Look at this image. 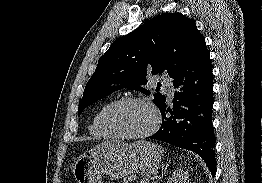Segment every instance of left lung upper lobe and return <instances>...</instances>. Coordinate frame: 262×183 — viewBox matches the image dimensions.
<instances>
[{
	"label": "left lung upper lobe",
	"instance_id": "obj_1",
	"mask_svg": "<svg viewBox=\"0 0 262 183\" xmlns=\"http://www.w3.org/2000/svg\"><path fill=\"white\" fill-rule=\"evenodd\" d=\"M204 47V37L192 19L180 13L150 19L114 41L100 57L79 102L78 115L87 106L123 88L149 95L150 91L143 88L148 82L147 73L165 71L174 79ZM160 86L158 83L156 91ZM153 101L160 108L166 97L157 92Z\"/></svg>",
	"mask_w": 262,
	"mask_h": 183
}]
</instances>
